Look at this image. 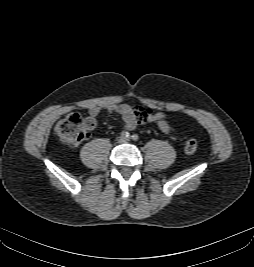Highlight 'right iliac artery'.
Returning a JSON list of instances; mask_svg holds the SVG:
<instances>
[{"label": "right iliac artery", "instance_id": "obj_1", "mask_svg": "<svg viewBox=\"0 0 254 267\" xmlns=\"http://www.w3.org/2000/svg\"><path fill=\"white\" fill-rule=\"evenodd\" d=\"M121 137L122 138H128L129 137V133L127 131H122L121 132Z\"/></svg>", "mask_w": 254, "mask_h": 267}]
</instances>
